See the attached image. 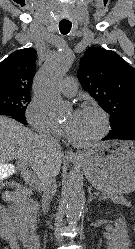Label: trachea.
Returning <instances> with one entry per match:
<instances>
[{
    "instance_id": "3493384b",
    "label": "trachea",
    "mask_w": 135,
    "mask_h": 249,
    "mask_svg": "<svg viewBox=\"0 0 135 249\" xmlns=\"http://www.w3.org/2000/svg\"><path fill=\"white\" fill-rule=\"evenodd\" d=\"M71 26H72V23L71 22H60L59 23V29H60V32L63 34V35H66L70 32L71 30Z\"/></svg>"
}]
</instances>
